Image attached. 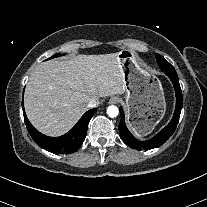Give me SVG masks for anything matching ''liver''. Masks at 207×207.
Wrapping results in <instances>:
<instances>
[{"label":"liver","mask_w":207,"mask_h":207,"mask_svg":"<svg viewBox=\"0 0 207 207\" xmlns=\"http://www.w3.org/2000/svg\"><path fill=\"white\" fill-rule=\"evenodd\" d=\"M124 84L118 53L49 60L29 78L24 94L26 115L41 133L60 136L87 111L90 99L123 94Z\"/></svg>","instance_id":"6515ba94"}]
</instances>
